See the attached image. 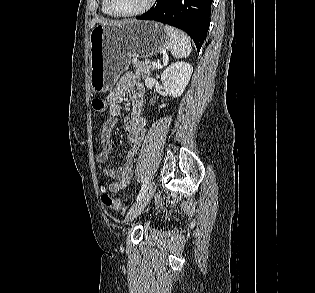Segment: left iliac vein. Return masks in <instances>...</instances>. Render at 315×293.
<instances>
[{
	"label": "left iliac vein",
	"mask_w": 315,
	"mask_h": 293,
	"mask_svg": "<svg viewBox=\"0 0 315 293\" xmlns=\"http://www.w3.org/2000/svg\"><path fill=\"white\" fill-rule=\"evenodd\" d=\"M155 193V183L152 182L142 198L138 200L132 208L129 210L126 216V221H132L134 218H136L142 211L143 209L147 206L151 198L153 197Z\"/></svg>",
	"instance_id": "1"
}]
</instances>
